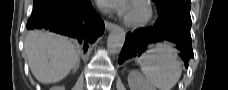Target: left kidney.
I'll use <instances>...</instances> for the list:
<instances>
[{"label": "left kidney", "instance_id": "5707ae66", "mask_svg": "<svg viewBox=\"0 0 228 90\" xmlns=\"http://www.w3.org/2000/svg\"><path fill=\"white\" fill-rule=\"evenodd\" d=\"M130 90H156V88L138 71L132 70L128 75Z\"/></svg>", "mask_w": 228, "mask_h": 90}]
</instances>
